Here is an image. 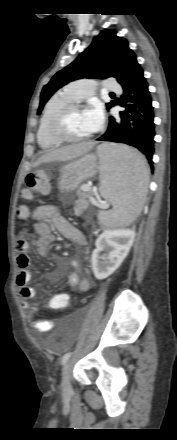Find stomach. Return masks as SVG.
I'll return each instance as SVG.
<instances>
[{"label":"stomach","mask_w":177,"mask_h":440,"mask_svg":"<svg viewBox=\"0 0 177 440\" xmlns=\"http://www.w3.org/2000/svg\"><path fill=\"white\" fill-rule=\"evenodd\" d=\"M100 170L101 161L98 156L86 154L61 168L58 188L62 193L71 192L84 181L93 178Z\"/></svg>","instance_id":"1"}]
</instances>
